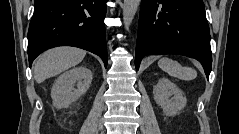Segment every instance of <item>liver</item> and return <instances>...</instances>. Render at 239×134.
Instances as JSON below:
<instances>
[{
    "mask_svg": "<svg viewBox=\"0 0 239 134\" xmlns=\"http://www.w3.org/2000/svg\"><path fill=\"white\" fill-rule=\"evenodd\" d=\"M85 55V50L74 47L50 49L36 60L34 65V78L37 83H41L47 78L56 76L78 65Z\"/></svg>",
    "mask_w": 239,
    "mask_h": 134,
    "instance_id": "1",
    "label": "liver"
}]
</instances>
